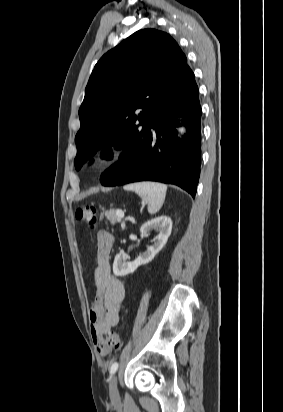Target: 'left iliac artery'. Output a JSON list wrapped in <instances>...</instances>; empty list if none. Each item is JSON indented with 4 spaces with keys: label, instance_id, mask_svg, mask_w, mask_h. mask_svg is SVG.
I'll return each instance as SVG.
<instances>
[{
    "label": "left iliac artery",
    "instance_id": "obj_1",
    "mask_svg": "<svg viewBox=\"0 0 283 412\" xmlns=\"http://www.w3.org/2000/svg\"><path fill=\"white\" fill-rule=\"evenodd\" d=\"M118 369V363L114 362L110 367V375H113Z\"/></svg>",
    "mask_w": 283,
    "mask_h": 412
}]
</instances>
